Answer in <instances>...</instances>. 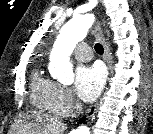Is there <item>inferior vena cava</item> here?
<instances>
[{
	"label": "inferior vena cava",
	"instance_id": "1",
	"mask_svg": "<svg viewBox=\"0 0 153 134\" xmlns=\"http://www.w3.org/2000/svg\"><path fill=\"white\" fill-rule=\"evenodd\" d=\"M81 107H82V104H81L80 102H77V103H76V109H77V110H80Z\"/></svg>",
	"mask_w": 153,
	"mask_h": 134
}]
</instances>
